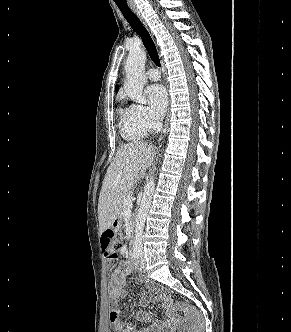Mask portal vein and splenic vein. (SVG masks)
<instances>
[{"label":"portal vein and splenic vein","instance_id":"portal-vein-and-splenic-vein-1","mask_svg":"<svg viewBox=\"0 0 291 332\" xmlns=\"http://www.w3.org/2000/svg\"><path fill=\"white\" fill-rule=\"evenodd\" d=\"M131 194H129L126 199L124 200L125 207H129L132 205Z\"/></svg>","mask_w":291,"mask_h":332}]
</instances>
